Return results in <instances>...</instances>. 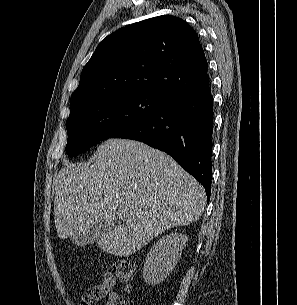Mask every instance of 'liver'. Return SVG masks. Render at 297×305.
<instances>
[{"mask_svg":"<svg viewBox=\"0 0 297 305\" xmlns=\"http://www.w3.org/2000/svg\"><path fill=\"white\" fill-rule=\"evenodd\" d=\"M203 187L166 153L144 143L109 139L94 164L67 165L55 179L58 236L70 238L95 224L110 225L98 247L129 256L170 228L198 220ZM118 215L121 222L115 226Z\"/></svg>","mask_w":297,"mask_h":305,"instance_id":"1","label":"liver"}]
</instances>
